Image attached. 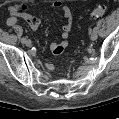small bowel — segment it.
<instances>
[{
	"label": "small bowel",
	"mask_w": 119,
	"mask_h": 119,
	"mask_svg": "<svg viewBox=\"0 0 119 119\" xmlns=\"http://www.w3.org/2000/svg\"><path fill=\"white\" fill-rule=\"evenodd\" d=\"M51 7L61 10L64 17L66 18V22L62 26V34L60 36L61 41L52 43L50 46L52 53L54 55H59L64 51L65 47L67 46L66 40L68 39L69 33L73 27V13L68 6L64 5L60 1L53 2L51 4ZM27 9L28 5L26 4L11 7L9 10L10 17L7 20V24L13 26L21 19L25 21L33 31H38L41 26V21L38 18L27 13ZM47 67L51 71L54 70V65L51 61H48Z\"/></svg>",
	"instance_id": "c3829d8e"
}]
</instances>
